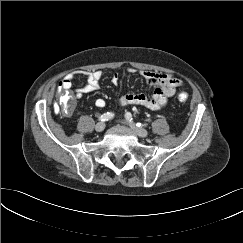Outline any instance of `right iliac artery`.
I'll return each mask as SVG.
<instances>
[{
    "instance_id": "right-iliac-artery-1",
    "label": "right iliac artery",
    "mask_w": 243,
    "mask_h": 243,
    "mask_svg": "<svg viewBox=\"0 0 243 243\" xmlns=\"http://www.w3.org/2000/svg\"><path fill=\"white\" fill-rule=\"evenodd\" d=\"M114 117V114L111 112L104 113L99 117L100 121H108L109 119H112Z\"/></svg>"
}]
</instances>
